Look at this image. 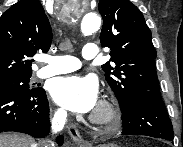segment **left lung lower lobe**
<instances>
[{
  "label": "left lung lower lobe",
  "instance_id": "1",
  "mask_svg": "<svg viewBox=\"0 0 183 147\" xmlns=\"http://www.w3.org/2000/svg\"><path fill=\"white\" fill-rule=\"evenodd\" d=\"M123 134L173 140V127L162 99L139 97L121 108Z\"/></svg>",
  "mask_w": 183,
  "mask_h": 147
}]
</instances>
